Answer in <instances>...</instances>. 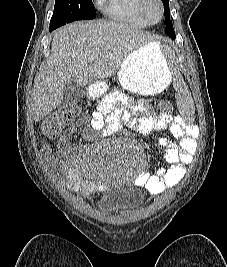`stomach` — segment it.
Returning <instances> with one entry per match:
<instances>
[{
    "label": "stomach",
    "mask_w": 227,
    "mask_h": 267,
    "mask_svg": "<svg viewBox=\"0 0 227 267\" xmlns=\"http://www.w3.org/2000/svg\"><path fill=\"white\" fill-rule=\"evenodd\" d=\"M171 78L165 50L154 47V43L135 49L118 70L119 83L124 89L144 95L160 93L169 85ZM102 90H108V85L92 84L88 94L95 98Z\"/></svg>",
    "instance_id": "obj_1"
}]
</instances>
